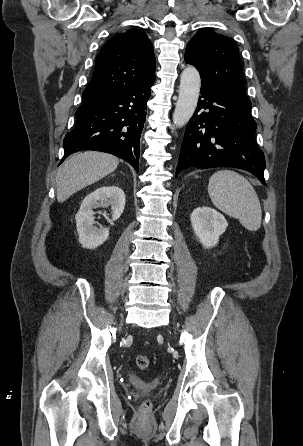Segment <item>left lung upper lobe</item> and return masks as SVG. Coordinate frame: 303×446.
I'll use <instances>...</instances> for the list:
<instances>
[{"label": "left lung upper lobe", "mask_w": 303, "mask_h": 446, "mask_svg": "<svg viewBox=\"0 0 303 446\" xmlns=\"http://www.w3.org/2000/svg\"><path fill=\"white\" fill-rule=\"evenodd\" d=\"M185 62L196 66L202 82L215 84L251 105L239 50L227 37L208 29L198 31L186 46Z\"/></svg>", "instance_id": "1"}]
</instances>
